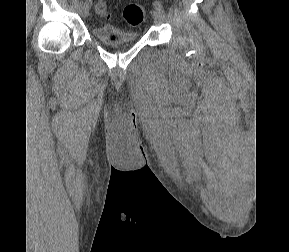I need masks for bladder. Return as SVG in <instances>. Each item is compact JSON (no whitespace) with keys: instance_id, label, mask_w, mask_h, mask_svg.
Here are the masks:
<instances>
[{"instance_id":"1","label":"bladder","mask_w":289,"mask_h":252,"mask_svg":"<svg viewBox=\"0 0 289 252\" xmlns=\"http://www.w3.org/2000/svg\"><path fill=\"white\" fill-rule=\"evenodd\" d=\"M93 36L100 42L109 46L132 44L139 39L136 31H127L112 25H101L92 28Z\"/></svg>"}]
</instances>
